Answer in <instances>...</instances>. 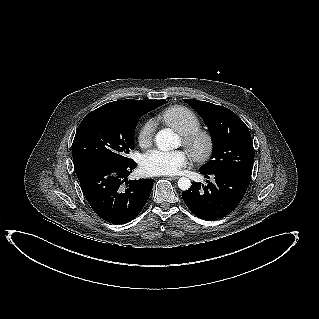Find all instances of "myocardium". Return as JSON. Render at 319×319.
I'll return each mask as SVG.
<instances>
[{
	"instance_id": "myocardium-1",
	"label": "myocardium",
	"mask_w": 319,
	"mask_h": 319,
	"mask_svg": "<svg viewBox=\"0 0 319 319\" xmlns=\"http://www.w3.org/2000/svg\"><path fill=\"white\" fill-rule=\"evenodd\" d=\"M182 142L196 162L208 161L214 152V138L206 130L198 128L182 135Z\"/></svg>"
}]
</instances>
